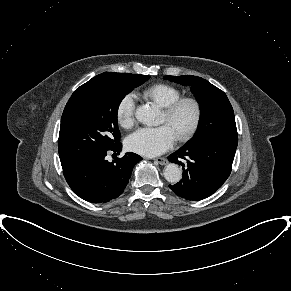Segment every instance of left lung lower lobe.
<instances>
[{"mask_svg":"<svg viewBox=\"0 0 291 291\" xmlns=\"http://www.w3.org/2000/svg\"><path fill=\"white\" fill-rule=\"evenodd\" d=\"M238 144L237 135L222 134L197 144H185L168 156L170 162L181 164L182 179L170 189L186 200H200L216 192L231 173ZM182 159L187 163H182Z\"/></svg>","mask_w":291,"mask_h":291,"instance_id":"left-lung-lower-lobe-1","label":"left lung lower lobe"}]
</instances>
